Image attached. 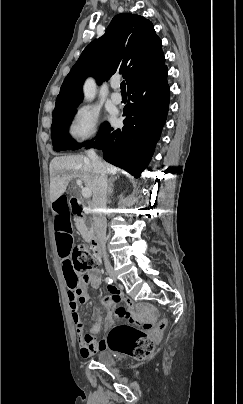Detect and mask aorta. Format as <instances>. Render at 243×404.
I'll list each match as a JSON object with an SVG mask.
<instances>
[{"label": "aorta", "instance_id": "762f6f07", "mask_svg": "<svg viewBox=\"0 0 243 404\" xmlns=\"http://www.w3.org/2000/svg\"><path fill=\"white\" fill-rule=\"evenodd\" d=\"M83 90L85 94V100H87V102H92V100H94L96 96V84L94 80H87V82H85Z\"/></svg>", "mask_w": 243, "mask_h": 404}]
</instances>
